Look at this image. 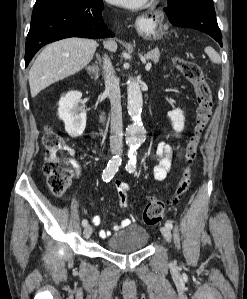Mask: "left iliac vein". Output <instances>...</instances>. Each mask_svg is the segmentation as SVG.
Segmentation results:
<instances>
[{
	"mask_svg": "<svg viewBox=\"0 0 247 299\" xmlns=\"http://www.w3.org/2000/svg\"><path fill=\"white\" fill-rule=\"evenodd\" d=\"M160 231H161L162 235L164 236V238L166 239V241L170 242L171 237H172L170 229L167 228L166 226H164V227L160 228Z\"/></svg>",
	"mask_w": 247,
	"mask_h": 299,
	"instance_id": "1",
	"label": "left iliac vein"
}]
</instances>
